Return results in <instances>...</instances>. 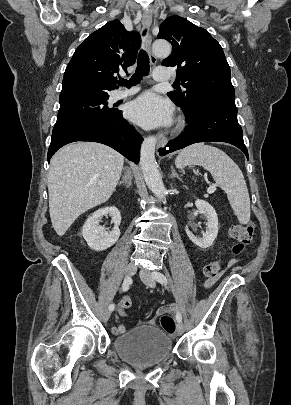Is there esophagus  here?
Returning a JSON list of instances; mask_svg holds the SVG:
<instances>
[{
    "mask_svg": "<svg viewBox=\"0 0 291 405\" xmlns=\"http://www.w3.org/2000/svg\"><path fill=\"white\" fill-rule=\"evenodd\" d=\"M142 22L145 27L149 28L152 23V14L150 12H145L142 17ZM151 43H152V36L150 33H147L145 48H146L147 53L149 54L150 63L154 66L157 63V58L152 53ZM166 143H167V138L163 134H160L157 137V147L159 148L161 146H164V145H166Z\"/></svg>",
    "mask_w": 291,
    "mask_h": 405,
    "instance_id": "34e87169",
    "label": "esophagus"
}]
</instances>
